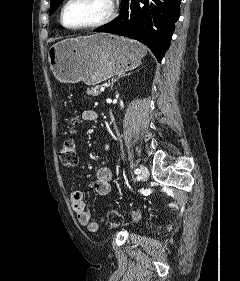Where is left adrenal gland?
Returning <instances> with one entry per match:
<instances>
[{
	"label": "left adrenal gland",
	"mask_w": 240,
	"mask_h": 281,
	"mask_svg": "<svg viewBox=\"0 0 240 281\" xmlns=\"http://www.w3.org/2000/svg\"><path fill=\"white\" fill-rule=\"evenodd\" d=\"M128 75H130V73L122 74V75H119L117 78H115V79L112 81V83H111V89H112V87H113V85H114V83H115L116 81H118L120 78L126 77V76H128Z\"/></svg>",
	"instance_id": "1"
}]
</instances>
